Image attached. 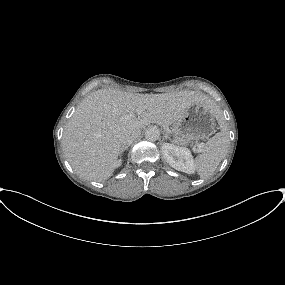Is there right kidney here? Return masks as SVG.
Instances as JSON below:
<instances>
[{
	"label": "right kidney",
	"mask_w": 285,
	"mask_h": 285,
	"mask_svg": "<svg viewBox=\"0 0 285 285\" xmlns=\"http://www.w3.org/2000/svg\"><path fill=\"white\" fill-rule=\"evenodd\" d=\"M121 164H122V161H121V159L119 160V161H117V163H116V167H119V166H121Z\"/></svg>",
	"instance_id": "obj_1"
}]
</instances>
